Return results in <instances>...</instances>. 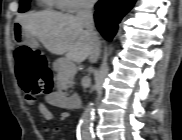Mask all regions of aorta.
<instances>
[{
	"instance_id": "762f6f07",
	"label": "aorta",
	"mask_w": 182,
	"mask_h": 140,
	"mask_svg": "<svg viewBox=\"0 0 182 140\" xmlns=\"http://www.w3.org/2000/svg\"><path fill=\"white\" fill-rule=\"evenodd\" d=\"M93 105L94 104L92 102L88 103L78 125V133L82 140H91L92 138V125L94 117Z\"/></svg>"
}]
</instances>
